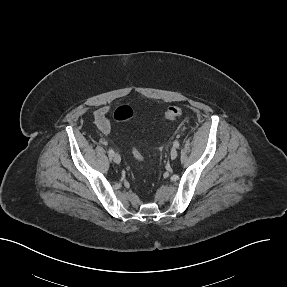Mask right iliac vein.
Masks as SVG:
<instances>
[{
  "instance_id": "63e3f726",
  "label": "right iliac vein",
  "mask_w": 287,
  "mask_h": 287,
  "mask_svg": "<svg viewBox=\"0 0 287 287\" xmlns=\"http://www.w3.org/2000/svg\"><path fill=\"white\" fill-rule=\"evenodd\" d=\"M113 161L115 162V163H117V164H119L120 162H121V157H120V155L119 154H114V156H113Z\"/></svg>"
}]
</instances>
